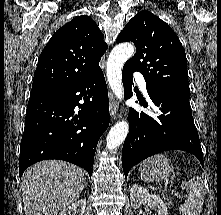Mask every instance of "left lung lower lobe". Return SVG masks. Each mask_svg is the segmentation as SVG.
I'll list each match as a JSON object with an SVG mask.
<instances>
[{
	"label": "left lung lower lobe",
	"instance_id": "1",
	"mask_svg": "<svg viewBox=\"0 0 221 215\" xmlns=\"http://www.w3.org/2000/svg\"><path fill=\"white\" fill-rule=\"evenodd\" d=\"M122 79L125 98L133 96V71L123 67ZM151 104L144 107L157 113L148 115L131 109L128 115L129 134L123 145L122 165L125 177L132 166L167 150H183L194 154L203 165V154L189 100L150 89L146 86Z\"/></svg>",
	"mask_w": 221,
	"mask_h": 215
}]
</instances>
